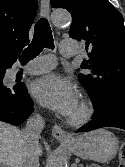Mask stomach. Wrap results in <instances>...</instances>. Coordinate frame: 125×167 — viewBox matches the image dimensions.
<instances>
[{
    "mask_svg": "<svg viewBox=\"0 0 125 167\" xmlns=\"http://www.w3.org/2000/svg\"><path fill=\"white\" fill-rule=\"evenodd\" d=\"M70 147L83 159L106 163L117 154L119 141L110 131L98 129L76 137L70 143Z\"/></svg>",
    "mask_w": 125,
    "mask_h": 167,
    "instance_id": "0dacf381",
    "label": "stomach"
}]
</instances>
